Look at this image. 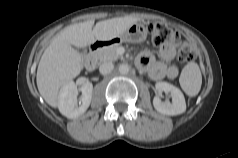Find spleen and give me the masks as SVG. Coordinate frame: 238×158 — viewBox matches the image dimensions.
<instances>
[{
  "mask_svg": "<svg viewBox=\"0 0 238 158\" xmlns=\"http://www.w3.org/2000/svg\"><path fill=\"white\" fill-rule=\"evenodd\" d=\"M180 85L189 96H196L202 84V75L197 63L189 62L180 75Z\"/></svg>",
  "mask_w": 238,
  "mask_h": 158,
  "instance_id": "3e777b00",
  "label": "spleen"
}]
</instances>
